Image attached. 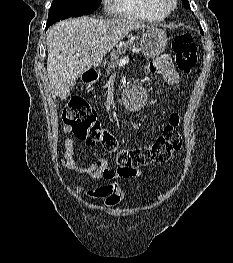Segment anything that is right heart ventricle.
<instances>
[{
    "instance_id": "right-heart-ventricle-1",
    "label": "right heart ventricle",
    "mask_w": 233,
    "mask_h": 263,
    "mask_svg": "<svg viewBox=\"0 0 233 263\" xmlns=\"http://www.w3.org/2000/svg\"><path fill=\"white\" fill-rule=\"evenodd\" d=\"M113 7L120 15L143 21H160L166 17L156 0H114Z\"/></svg>"
}]
</instances>
